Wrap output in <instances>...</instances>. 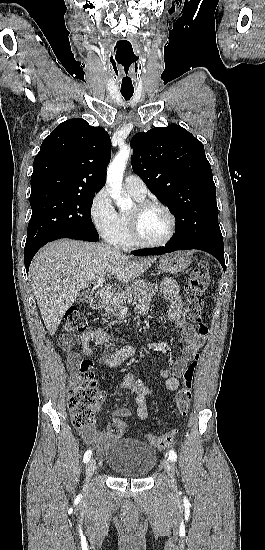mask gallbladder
I'll use <instances>...</instances> for the list:
<instances>
[{
	"instance_id": "bac80fb5",
	"label": "gallbladder",
	"mask_w": 265,
	"mask_h": 550,
	"mask_svg": "<svg viewBox=\"0 0 265 550\" xmlns=\"http://www.w3.org/2000/svg\"><path fill=\"white\" fill-rule=\"evenodd\" d=\"M93 295L91 292H83L78 295V299L81 302H89L92 299Z\"/></svg>"
}]
</instances>
